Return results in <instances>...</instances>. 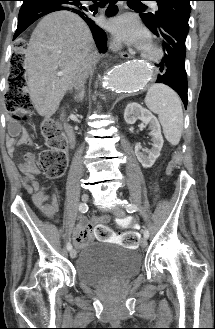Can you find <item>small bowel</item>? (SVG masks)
Returning <instances> with one entry per match:
<instances>
[{"label": "small bowel", "mask_w": 215, "mask_h": 329, "mask_svg": "<svg viewBox=\"0 0 215 329\" xmlns=\"http://www.w3.org/2000/svg\"><path fill=\"white\" fill-rule=\"evenodd\" d=\"M10 138L7 141V147L11 155L14 154L15 146L29 145L31 140L28 135L23 132L21 137L15 138L21 133V126L17 122H12L10 125ZM20 171L30 183L34 192L32 200L34 205L43 212L47 217H53L58 211V200L55 195H48L40 186L36 176L39 174V169L35 164V156L32 153H27L23 157V161L19 164ZM108 217L100 215L92 221L89 219H81L78 223L74 240L79 248H84L89 242V232H93L95 242H115L116 236L113 235L111 225H105Z\"/></svg>", "instance_id": "1"}]
</instances>
